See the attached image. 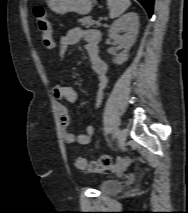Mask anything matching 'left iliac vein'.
<instances>
[{
	"mask_svg": "<svg viewBox=\"0 0 188 213\" xmlns=\"http://www.w3.org/2000/svg\"><path fill=\"white\" fill-rule=\"evenodd\" d=\"M118 137H119V141L121 143H124L127 139V130L126 129H121L118 131Z\"/></svg>",
	"mask_w": 188,
	"mask_h": 213,
	"instance_id": "obj_1",
	"label": "left iliac vein"
}]
</instances>
